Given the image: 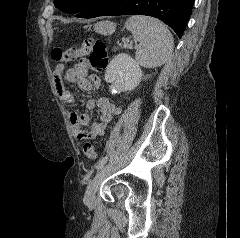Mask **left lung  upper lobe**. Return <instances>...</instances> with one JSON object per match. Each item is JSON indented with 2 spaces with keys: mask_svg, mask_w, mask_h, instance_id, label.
<instances>
[{
  "mask_svg": "<svg viewBox=\"0 0 240 238\" xmlns=\"http://www.w3.org/2000/svg\"><path fill=\"white\" fill-rule=\"evenodd\" d=\"M92 0H55L54 4L67 13H80Z\"/></svg>",
  "mask_w": 240,
  "mask_h": 238,
  "instance_id": "left-lung-upper-lobe-1",
  "label": "left lung upper lobe"
}]
</instances>
